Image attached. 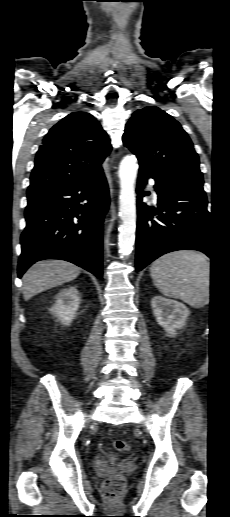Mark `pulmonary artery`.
<instances>
[{
    "mask_svg": "<svg viewBox=\"0 0 230 517\" xmlns=\"http://www.w3.org/2000/svg\"><path fill=\"white\" fill-rule=\"evenodd\" d=\"M153 195H154V197H157V194H156V192H155V191L153 192Z\"/></svg>",
    "mask_w": 230,
    "mask_h": 517,
    "instance_id": "e3ab8cb5",
    "label": "pulmonary artery"
}]
</instances>
